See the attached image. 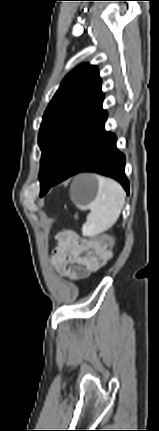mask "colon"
Returning a JSON list of instances; mask_svg holds the SVG:
<instances>
[{
	"mask_svg": "<svg viewBox=\"0 0 159 431\" xmlns=\"http://www.w3.org/2000/svg\"><path fill=\"white\" fill-rule=\"evenodd\" d=\"M96 240H107V242H108L107 248H112V246H113V239L109 235H106V234L98 235V236H96Z\"/></svg>",
	"mask_w": 159,
	"mask_h": 431,
	"instance_id": "5ec220e1",
	"label": "colon"
}]
</instances>
